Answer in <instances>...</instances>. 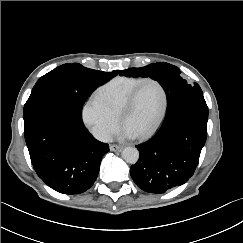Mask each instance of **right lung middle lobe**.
Here are the masks:
<instances>
[{
    "label": "right lung middle lobe",
    "mask_w": 243,
    "mask_h": 243,
    "mask_svg": "<svg viewBox=\"0 0 243 243\" xmlns=\"http://www.w3.org/2000/svg\"><path fill=\"white\" fill-rule=\"evenodd\" d=\"M119 72L93 70L78 63L64 64L42 76L33 87L31 95L42 94L61 98L81 112L88 96Z\"/></svg>",
    "instance_id": "obj_1"
}]
</instances>
